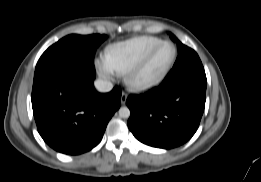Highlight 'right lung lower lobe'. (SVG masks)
<instances>
[{"instance_id": "98d812e1", "label": "right lung lower lobe", "mask_w": 261, "mask_h": 182, "mask_svg": "<svg viewBox=\"0 0 261 182\" xmlns=\"http://www.w3.org/2000/svg\"><path fill=\"white\" fill-rule=\"evenodd\" d=\"M94 64L78 55H64L36 67L32 108L39 134L54 150L77 155L102 139L120 107L121 90L106 94L94 86Z\"/></svg>"}]
</instances>
